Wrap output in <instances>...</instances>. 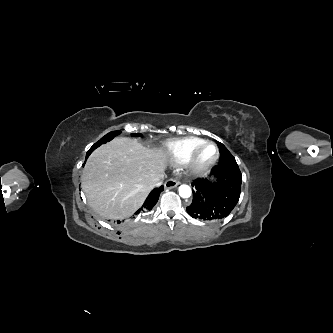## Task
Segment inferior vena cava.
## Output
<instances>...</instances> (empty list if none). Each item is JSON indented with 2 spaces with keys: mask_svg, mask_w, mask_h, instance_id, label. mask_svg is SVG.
<instances>
[{
  "mask_svg": "<svg viewBox=\"0 0 333 333\" xmlns=\"http://www.w3.org/2000/svg\"><path fill=\"white\" fill-rule=\"evenodd\" d=\"M161 184H162V182L159 181V180H157V181L152 185V188H154V187L158 188V187L161 186Z\"/></svg>",
  "mask_w": 333,
  "mask_h": 333,
  "instance_id": "1",
  "label": "inferior vena cava"
}]
</instances>
